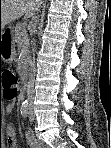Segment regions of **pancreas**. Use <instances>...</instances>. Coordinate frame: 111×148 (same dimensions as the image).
I'll list each match as a JSON object with an SVG mask.
<instances>
[{"instance_id":"cf45deb5","label":"pancreas","mask_w":111,"mask_h":148,"mask_svg":"<svg viewBox=\"0 0 111 148\" xmlns=\"http://www.w3.org/2000/svg\"><path fill=\"white\" fill-rule=\"evenodd\" d=\"M15 42L17 43L19 50L25 55L27 53L29 39L24 24L15 27Z\"/></svg>"}]
</instances>
